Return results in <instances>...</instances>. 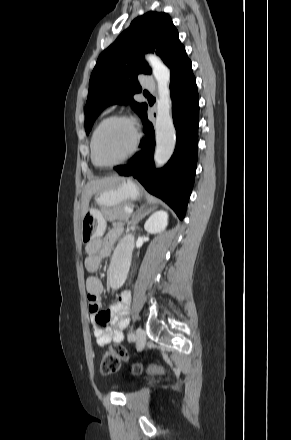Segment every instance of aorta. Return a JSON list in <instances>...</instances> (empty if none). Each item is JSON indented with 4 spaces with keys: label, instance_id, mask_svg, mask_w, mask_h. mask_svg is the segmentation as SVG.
Segmentation results:
<instances>
[{
    "label": "aorta",
    "instance_id": "1",
    "mask_svg": "<svg viewBox=\"0 0 291 440\" xmlns=\"http://www.w3.org/2000/svg\"><path fill=\"white\" fill-rule=\"evenodd\" d=\"M146 60L153 70L158 87L157 114L154 126L156 141L154 161L156 167L159 168L169 161L176 147V130L171 114L172 103L169 90L170 71L155 55L146 56ZM134 242V236L126 234L114 251L109 277L110 285L114 288L121 286L127 277Z\"/></svg>",
    "mask_w": 291,
    "mask_h": 440
}]
</instances>
